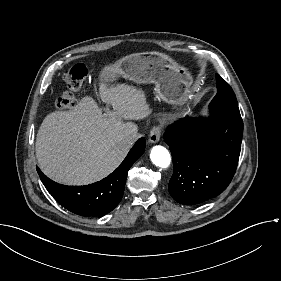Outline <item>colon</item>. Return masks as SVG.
<instances>
[{"label":"colon","instance_id":"1","mask_svg":"<svg viewBox=\"0 0 281 281\" xmlns=\"http://www.w3.org/2000/svg\"><path fill=\"white\" fill-rule=\"evenodd\" d=\"M88 76V68L84 63H76L65 70L63 81L69 88H79ZM61 111L71 110L76 106V98L71 91L62 92L57 99Z\"/></svg>","mask_w":281,"mask_h":281}]
</instances>
